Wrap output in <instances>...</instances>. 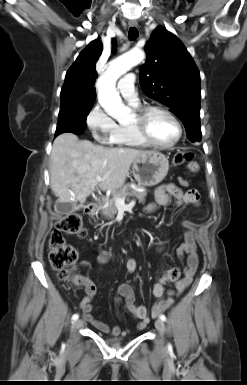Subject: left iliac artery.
Instances as JSON below:
<instances>
[{
	"label": "left iliac artery",
	"mask_w": 247,
	"mask_h": 385,
	"mask_svg": "<svg viewBox=\"0 0 247 385\" xmlns=\"http://www.w3.org/2000/svg\"><path fill=\"white\" fill-rule=\"evenodd\" d=\"M160 319H161L162 321H166V316L163 315V314H161V315H160Z\"/></svg>",
	"instance_id": "44dca946"
}]
</instances>
